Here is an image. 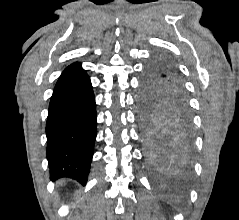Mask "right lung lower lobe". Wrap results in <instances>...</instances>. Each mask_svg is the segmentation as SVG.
I'll return each mask as SVG.
<instances>
[{
	"mask_svg": "<svg viewBox=\"0 0 239 220\" xmlns=\"http://www.w3.org/2000/svg\"><path fill=\"white\" fill-rule=\"evenodd\" d=\"M96 107L92 85L79 63L58 79L46 124L50 178L86 182L96 139Z\"/></svg>",
	"mask_w": 239,
	"mask_h": 220,
	"instance_id": "98d812e1",
	"label": "right lung lower lobe"
}]
</instances>
